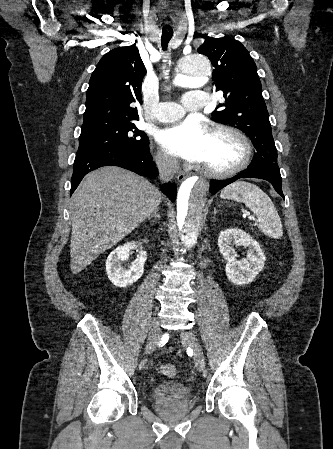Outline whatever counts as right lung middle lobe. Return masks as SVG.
I'll return each mask as SVG.
<instances>
[{
	"instance_id": "1",
	"label": "right lung middle lobe",
	"mask_w": 333,
	"mask_h": 449,
	"mask_svg": "<svg viewBox=\"0 0 333 449\" xmlns=\"http://www.w3.org/2000/svg\"><path fill=\"white\" fill-rule=\"evenodd\" d=\"M146 134L131 120L82 126L79 150L118 149L139 152L148 145Z\"/></svg>"
}]
</instances>
